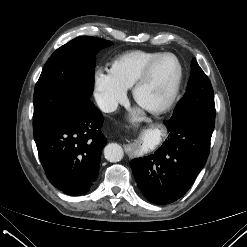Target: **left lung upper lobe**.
<instances>
[{"mask_svg": "<svg viewBox=\"0 0 247 247\" xmlns=\"http://www.w3.org/2000/svg\"><path fill=\"white\" fill-rule=\"evenodd\" d=\"M193 110L215 117L214 93L211 82L195 58L191 63V75L187 85V92L176 105L171 118H176Z\"/></svg>", "mask_w": 247, "mask_h": 247, "instance_id": "1", "label": "left lung upper lobe"}]
</instances>
